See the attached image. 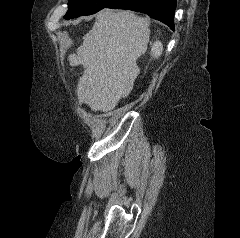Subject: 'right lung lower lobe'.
Listing matches in <instances>:
<instances>
[{"label": "right lung lower lobe", "mask_w": 240, "mask_h": 238, "mask_svg": "<svg viewBox=\"0 0 240 238\" xmlns=\"http://www.w3.org/2000/svg\"><path fill=\"white\" fill-rule=\"evenodd\" d=\"M108 8L145 13L174 30L176 0H116Z\"/></svg>", "instance_id": "obj_1"}]
</instances>
